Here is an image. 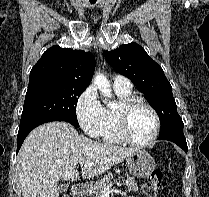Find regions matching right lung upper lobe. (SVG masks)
<instances>
[{"label": "right lung upper lobe", "instance_id": "cb5924a9", "mask_svg": "<svg viewBox=\"0 0 209 197\" xmlns=\"http://www.w3.org/2000/svg\"><path fill=\"white\" fill-rule=\"evenodd\" d=\"M95 65L93 54L56 45L46 50L32 68L29 82H71L88 86Z\"/></svg>", "mask_w": 209, "mask_h": 197}]
</instances>
